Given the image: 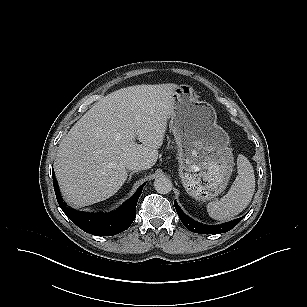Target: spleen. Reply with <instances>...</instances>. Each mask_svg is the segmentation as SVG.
<instances>
[{"instance_id":"3e777b00","label":"spleen","mask_w":307,"mask_h":307,"mask_svg":"<svg viewBox=\"0 0 307 307\" xmlns=\"http://www.w3.org/2000/svg\"><path fill=\"white\" fill-rule=\"evenodd\" d=\"M237 170L238 175L228 193L219 201L207 205L209 216L215 220H229L251 202L255 191V175L251 163L242 154L237 158Z\"/></svg>"}]
</instances>
